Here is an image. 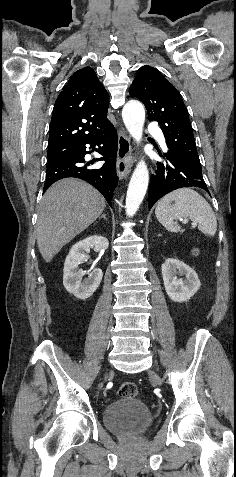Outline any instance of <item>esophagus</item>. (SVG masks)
<instances>
[{
    "mask_svg": "<svg viewBox=\"0 0 236 477\" xmlns=\"http://www.w3.org/2000/svg\"><path fill=\"white\" fill-rule=\"evenodd\" d=\"M132 164L133 156L130 138L126 133L119 131L117 151V174L119 179H124L128 176Z\"/></svg>",
    "mask_w": 236,
    "mask_h": 477,
    "instance_id": "34e87169",
    "label": "esophagus"
}]
</instances>
